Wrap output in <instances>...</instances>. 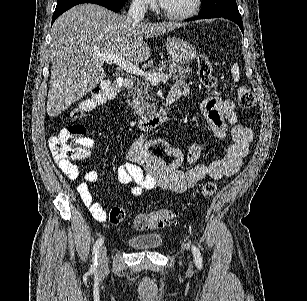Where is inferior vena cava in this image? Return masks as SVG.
Returning <instances> with one entry per match:
<instances>
[{
    "mask_svg": "<svg viewBox=\"0 0 307 301\" xmlns=\"http://www.w3.org/2000/svg\"><path fill=\"white\" fill-rule=\"evenodd\" d=\"M147 8L148 4L145 0H132L127 16H130L133 22H140V20H143Z\"/></svg>",
    "mask_w": 307,
    "mask_h": 301,
    "instance_id": "obj_1",
    "label": "inferior vena cava"
}]
</instances>
